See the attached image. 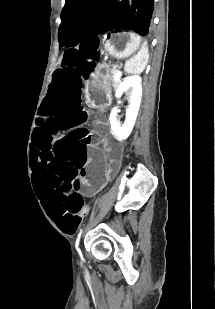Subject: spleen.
Wrapping results in <instances>:
<instances>
[{"mask_svg": "<svg viewBox=\"0 0 215 309\" xmlns=\"http://www.w3.org/2000/svg\"><path fill=\"white\" fill-rule=\"evenodd\" d=\"M148 60V46L145 40L139 52H137L135 56H132V58H129V60L125 62L124 70H126V72H131V74H140V72H143Z\"/></svg>", "mask_w": 215, "mask_h": 309, "instance_id": "3e777b00", "label": "spleen"}]
</instances>
